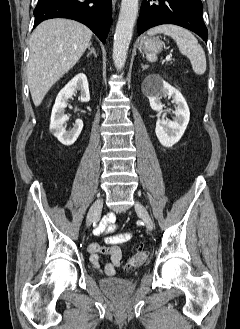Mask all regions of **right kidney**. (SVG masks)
Instances as JSON below:
<instances>
[{"label": "right kidney", "mask_w": 240, "mask_h": 329, "mask_svg": "<svg viewBox=\"0 0 240 329\" xmlns=\"http://www.w3.org/2000/svg\"><path fill=\"white\" fill-rule=\"evenodd\" d=\"M76 91H80V100L82 102H88L90 100L87 77L83 73L76 75L59 92L51 113L50 131L65 146L72 145L83 129V122L81 119L75 121L70 131H67L65 127V123L69 119V117L64 114L65 108L68 105L67 101Z\"/></svg>", "instance_id": "1"}]
</instances>
